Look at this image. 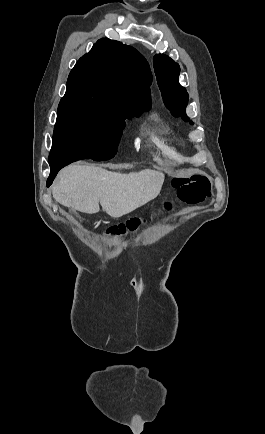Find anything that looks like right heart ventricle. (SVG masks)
<instances>
[{
  "instance_id": "right-heart-ventricle-1",
  "label": "right heart ventricle",
  "mask_w": 265,
  "mask_h": 434,
  "mask_svg": "<svg viewBox=\"0 0 265 434\" xmlns=\"http://www.w3.org/2000/svg\"><path fill=\"white\" fill-rule=\"evenodd\" d=\"M149 119H150L152 128L154 130H159L161 128V126L163 124V119L159 113H157V112L151 113L149 115Z\"/></svg>"
}]
</instances>
